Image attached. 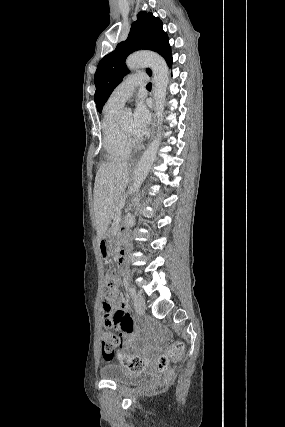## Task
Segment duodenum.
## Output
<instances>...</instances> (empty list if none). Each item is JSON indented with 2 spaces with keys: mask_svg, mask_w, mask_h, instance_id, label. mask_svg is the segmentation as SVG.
<instances>
[{
  "mask_svg": "<svg viewBox=\"0 0 285 427\" xmlns=\"http://www.w3.org/2000/svg\"><path fill=\"white\" fill-rule=\"evenodd\" d=\"M125 253H126V247L123 246V245L120 246L119 249H118V258L119 259L124 258Z\"/></svg>",
  "mask_w": 285,
  "mask_h": 427,
  "instance_id": "duodenum-1",
  "label": "duodenum"
}]
</instances>
